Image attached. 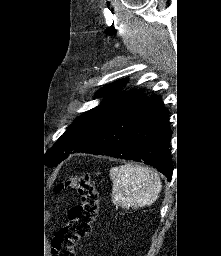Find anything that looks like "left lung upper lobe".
<instances>
[{
  "instance_id": "left-lung-upper-lobe-1",
  "label": "left lung upper lobe",
  "mask_w": 221,
  "mask_h": 256,
  "mask_svg": "<svg viewBox=\"0 0 221 256\" xmlns=\"http://www.w3.org/2000/svg\"><path fill=\"white\" fill-rule=\"evenodd\" d=\"M126 80L111 83L96 93L104 100L97 107L77 117L73 124L47 151L45 165L54 167L62 162L81 143L104 127L109 121L138 107L147 97L137 90L119 92Z\"/></svg>"
}]
</instances>
